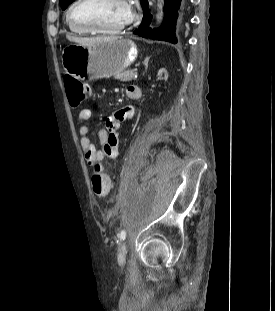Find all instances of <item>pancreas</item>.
Masks as SVG:
<instances>
[{
  "label": "pancreas",
  "instance_id": "obj_1",
  "mask_svg": "<svg viewBox=\"0 0 275 311\" xmlns=\"http://www.w3.org/2000/svg\"><path fill=\"white\" fill-rule=\"evenodd\" d=\"M136 76H137V73L131 70H126V71H123L117 74L115 76V79H119L120 81H123V82H129V81L135 80Z\"/></svg>",
  "mask_w": 275,
  "mask_h": 311
}]
</instances>
